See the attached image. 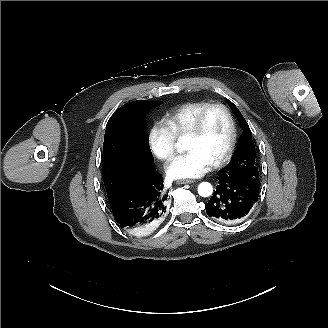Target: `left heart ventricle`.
I'll use <instances>...</instances> for the list:
<instances>
[{
	"mask_svg": "<svg viewBox=\"0 0 328 328\" xmlns=\"http://www.w3.org/2000/svg\"><path fill=\"white\" fill-rule=\"evenodd\" d=\"M231 139V125L221 110L211 111L201 132L195 137H185V150H198L213 163L226 151Z\"/></svg>",
	"mask_w": 328,
	"mask_h": 328,
	"instance_id": "1",
	"label": "left heart ventricle"
}]
</instances>
